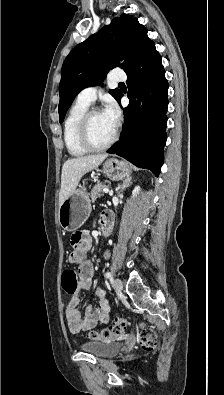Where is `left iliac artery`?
I'll return each mask as SVG.
<instances>
[{
    "label": "left iliac artery",
    "mask_w": 224,
    "mask_h": 395,
    "mask_svg": "<svg viewBox=\"0 0 224 395\" xmlns=\"http://www.w3.org/2000/svg\"><path fill=\"white\" fill-rule=\"evenodd\" d=\"M106 277L109 278L110 280L113 279L111 272H107L106 273Z\"/></svg>",
    "instance_id": "44dca946"
}]
</instances>
